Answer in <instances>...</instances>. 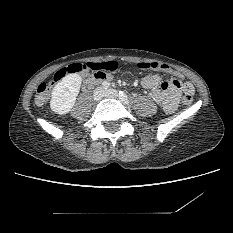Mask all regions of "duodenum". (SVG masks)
Listing matches in <instances>:
<instances>
[{"mask_svg": "<svg viewBox=\"0 0 233 233\" xmlns=\"http://www.w3.org/2000/svg\"><path fill=\"white\" fill-rule=\"evenodd\" d=\"M107 82L109 81V77L102 73V72H95L94 74H92L91 76H89L86 81H85V86H94V85H97L99 83H102V82Z\"/></svg>", "mask_w": 233, "mask_h": 233, "instance_id": "410a0bca", "label": "duodenum"}]
</instances>
